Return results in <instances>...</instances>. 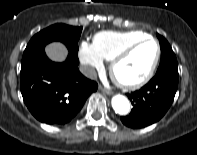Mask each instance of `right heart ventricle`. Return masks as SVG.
Masks as SVG:
<instances>
[{
  "instance_id": "right-heart-ventricle-1",
  "label": "right heart ventricle",
  "mask_w": 197,
  "mask_h": 155,
  "mask_svg": "<svg viewBox=\"0 0 197 155\" xmlns=\"http://www.w3.org/2000/svg\"><path fill=\"white\" fill-rule=\"evenodd\" d=\"M145 37L142 31H102L94 36L93 46L104 60L111 61L124 47Z\"/></svg>"
}]
</instances>
